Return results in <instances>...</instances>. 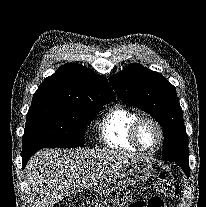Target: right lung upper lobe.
Masks as SVG:
<instances>
[{
    "label": "right lung upper lobe",
    "instance_id": "1",
    "mask_svg": "<svg viewBox=\"0 0 206 207\" xmlns=\"http://www.w3.org/2000/svg\"><path fill=\"white\" fill-rule=\"evenodd\" d=\"M58 101L81 105L106 104L115 95L104 76L85 66L70 63L47 77L33 95L32 103Z\"/></svg>",
    "mask_w": 206,
    "mask_h": 207
}]
</instances>
